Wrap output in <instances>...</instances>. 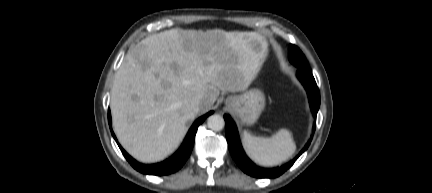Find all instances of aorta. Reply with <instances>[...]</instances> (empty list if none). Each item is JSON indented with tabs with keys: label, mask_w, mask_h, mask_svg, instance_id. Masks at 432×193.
Masks as SVG:
<instances>
[{
	"label": "aorta",
	"mask_w": 432,
	"mask_h": 193,
	"mask_svg": "<svg viewBox=\"0 0 432 193\" xmlns=\"http://www.w3.org/2000/svg\"><path fill=\"white\" fill-rule=\"evenodd\" d=\"M208 128L213 131H220L225 126L224 118L219 114H213L207 119Z\"/></svg>",
	"instance_id": "obj_1"
}]
</instances>
